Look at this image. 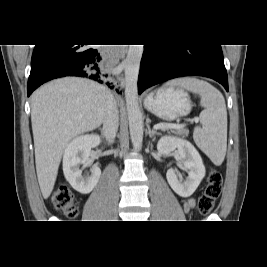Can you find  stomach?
Instances as JSON below:
<instances>
[{"label":"stomach","instance_id":"1","mask_svg":"<svg viewBox=\"0 0 267 267\" xmlns=\"http://www.w3.org/2000/svg\"><path fill=\"white\" fill-rule=\"evenodd\" d=\"M145 108L155 116L173 121L190 113L192 105L188 94L179 88L168 87L150 93L144 99Z\"/></svg>","mask_w":267,"mask_h":267}]
</instances>
